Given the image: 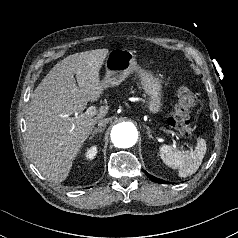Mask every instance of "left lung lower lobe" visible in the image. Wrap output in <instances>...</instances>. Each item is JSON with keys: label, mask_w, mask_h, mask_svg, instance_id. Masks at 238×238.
Returning <instances> with one entry per match:
<instances>
[{"label": "left lung lower lobe", "mask_w": 238, "mask_h": 238, "mask_svg": "<svg viewBox=\"0 0 238 238\" xmlns=\"http://www.w3.org/2000/svg\"><path fill=\"white\" fill-rule=\"evenodd\" d=\"M146 173V175H147V177H149L152 181H154V182H157V183H163V184H167L168 182H165V181H163V180H161V179H158V178H155V177H153V176H151L150 174H148L147 172H145Z\"/></svg>", "instance_id": "0a47b994"}]
</instances>
